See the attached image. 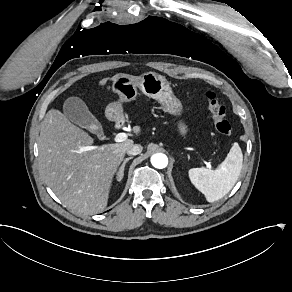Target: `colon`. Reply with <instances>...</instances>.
Returning <instances> with one entry per match:
<instances>
[{
    "label": "colon",
    "mask_w": 292,
    "mask_h": 292,
    "mask_svg": "<svg viewBox=\"0 0 292 292\" xmlns=\"http://www.w3.org/2000/svg\"><path fill=\"white\" fill-rule=\"evenodd\" d=\"M205 100L210 111L214 127L216 131L222 135H228L231 133V125L227 121L226 117V109L218 98L217 94L214 92H206Z\"/></svg>",
    "instance_id": "obj_1"
}]
</instances>
